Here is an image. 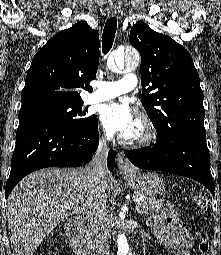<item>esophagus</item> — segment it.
<instances>
[{
    "mask_svg": "<svg viewBox=\"0 0 221 255\" xmlns=\"http://www.w3.org/2000/svg\"><path fill=\"white\" fill-rule=\"evenodd\" d=\"M108 14L110 16H116L117 15V10L116 8H109L108 9ZM117 165L120 170V172H131L134 171L133 166L130 164L128 159L124 156L122 152L117 154Z\"/></svg>",
    "mask_w": 221,
    "mask_h": 255,
    "instance_id": "esophagus-1",
    "label": "esophagus"
}]
</instances>
